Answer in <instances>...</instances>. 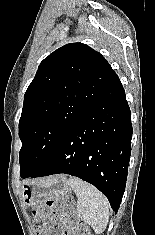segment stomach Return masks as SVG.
I'll return each mask as SVG.
<instances>
[{"mask_svg":"<svg viewBox=\"0 0 155 235\" xmlns=\"http://www.w3.org/2000/svg\"><path fill=\"white\" fill-rule=\"evenodd\" d=\"M71 191L65 176H52L43 180L28 182L22 187L26 206H34L67 195Z\"/></svg>","mask_w":155,"mask_h":235,"instance_id":"stomach-1","label":"stomach"}]
</instances>
